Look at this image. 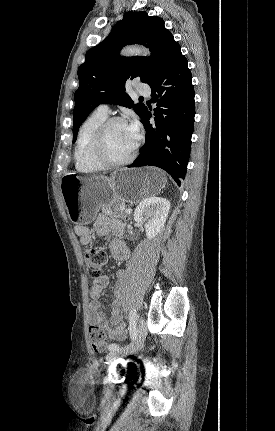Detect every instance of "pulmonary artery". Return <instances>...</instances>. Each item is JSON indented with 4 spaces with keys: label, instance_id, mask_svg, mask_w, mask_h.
<instances>
[{
    "label": "pulmonary artery",
    "instance_id": "pulmonary-artery-1",
    "mask_svg": "<svg viewBox=\"0 0 275 431\" xmlns=\"http://www.w3.org/2000/svg\"><path fill=\"white\" fill-rule=\"evenodd\" d=\"M136 90L140 93V94H144L147 95L150 93V88L148 85L146 84H138L136 86ZM97 111L104 113V114H108L110 112L109 106L106 104H101L98 106Z\"/></svg>",
    "mask_w": 275,
    "mask_h": 431
}]
</instances>
